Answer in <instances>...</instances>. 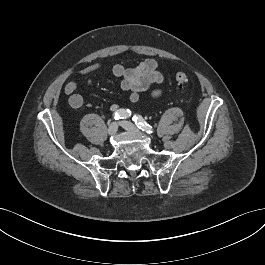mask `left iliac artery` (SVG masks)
Here are the masks:
<instances>
[{"instance_id": "44dca946", "label": "left iliac artery", "mask_w": 265, "mask_h": 265, "mask_svg": "<svg viewBox=\"0 0 265 265\" xmlns=\"http://www.w3.org/2000/svg\"><path fill=\"white\" fill-rule=\"evenodd\" d=\"M132 120L135 122L139 129L146 131L149 134L153 133L152 127L148 123H146L140 115L133 116Z\"/></svg>"}]
</instances>
